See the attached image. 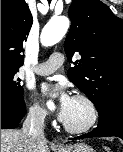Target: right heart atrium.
Masks as SVG:
<instances>
[{
  "label": "right heart atrium",
  "instance_id": "obj_1",
  "mask_svg": "<svg viewBox=\"0 0 123 152\" xmlns=\"http://www.w3.org/2000/svg\"><path fill=\"white\" fill-rule=\"evenodd\" d=\"M28 116L35 122L43 123L47 119L48 114L41 106L31 103L28 106Z\"/></svg>",
  "mask_w": 123,
  "mask_h": 152
}]
</instances>
